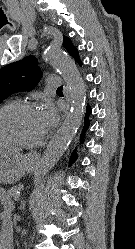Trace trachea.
Returning a JSON list of instances; mask_svg holds the SVG:
<instances>
[{
  "mask_svg": "<svg viewBox=\"0 0 135 249\" xmlns=\"http://www.w3.org/2000/svg\"><path fill=\"white\" fill-rule=\"evenodd\" d=\"M62 89H63V87L61 86V87H59V88L57 89V91H62Z\"/></svg>",
  "mask_w": 135,
  "mask_h": 249,
  "instance_id": "1",
  "label": "trachea"
}]
</instances>
